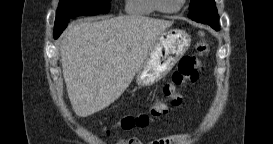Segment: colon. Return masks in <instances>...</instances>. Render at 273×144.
Masks as SVG:
<instances>
[{
	"instance_id": "colon-1",
	"label": "colon",
	"mask_w": 273,
	"mask_h": 144,
	"mask_svg": "<svg viewBox=\"0 0 273 144\" xmlns=\"http://www.w3.org/2000/svg\"><path fill=\"white\" fill-rule=\"evenodd\" d=\"M198 54L182 58L174 71L171 80L164 86L163 93L157 97L148 111L121 117L116 126L122 129H132L146 126L151 118L167 112L169 107L177 106L182 100V91L198 80L203 72V57L208 52L205 42L197 45Z\"/></svg>"
}]
</instances>
